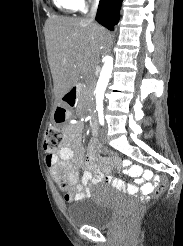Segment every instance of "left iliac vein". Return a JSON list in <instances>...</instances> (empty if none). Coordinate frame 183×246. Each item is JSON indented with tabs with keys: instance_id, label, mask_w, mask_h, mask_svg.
<instances>
[{
	"instance_id": "1",
	"label": "left iliac vein",
	"mask_w": 183,
	"mask_h": 246,
	"mask_svg": "<svg viewBox=\"0 0 183 246\" xmlns=\"http://www.w3.org/2000/svg\"><path fill=\"white\" fill-rule=\"evenodd\" d=\"M101 139L103 142H107V129L104 128L100 133Z\"/></svg>"
}]
</instances>
